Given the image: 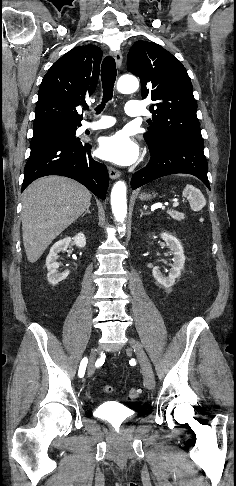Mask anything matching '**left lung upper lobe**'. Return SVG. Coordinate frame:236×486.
Returning a JSON list of instances; mask_svg holds the SVG:
<instances>
[{"label": "left lung upper lobe", "instance_id": "5c2ea615", "mask_svg": "<svg viewBox=\"0 0 236 486\" xmlns=\"http://www.w3.org/2000/svg\"><path fill=\"white\" fill-rule=\"evenodd\" d=\"M127 69L139 76L142 98L155 102L149 107L153 119L144 134L148 145L175 137L204 143L192 84L175 56L156 43L138 41L128 53Z\"/></svg>", "mask_w": 236, "mask_h": 486}]
</instances>
